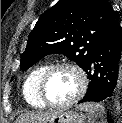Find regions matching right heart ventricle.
I'll list each match as a JSON object with an SVG mask.
<instances>
[{
	"instance_id": "1",
	"label": "right heart ventricle",
	"mask_w": 122,
	"mask_h": 123,
	"mask_svg": "<svg viewBox=\"0 0 122 123\" xmlns=\"http://www.w3.org/2000/svg\"><path fill=\"white\" fill-rule=\"evenodd\" d=\"M49 63H43L34 67L26 76L23 84V96L25 101L34 108H45L46 105L39 97V82L44 72L50 67Z\"/></svg>"
}]
</instances>
